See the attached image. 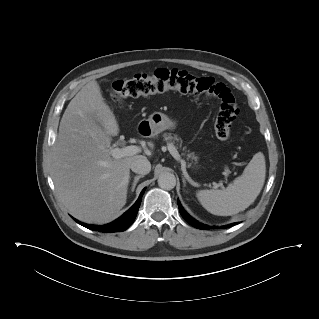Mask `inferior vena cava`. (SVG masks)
<instances>
[{"instance_id": "1", "label": "inferior vena cava", "mask_w": 319, "mask_h": 319, "mask_svg": "<svg viewBox=\"0 0 319 319\" xmlns=\"http://www.w3.org/2000/svg\"><path fill=\"white\" fill-rule=\"evenodd\" d=\"M130 168L133 172H135L137 174L146 175L151 170V164L147 160L146 157H141V158L134 160L131 163Z\"/></svg>"}]
</instances>
